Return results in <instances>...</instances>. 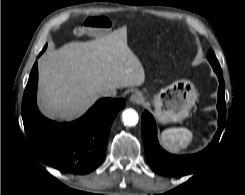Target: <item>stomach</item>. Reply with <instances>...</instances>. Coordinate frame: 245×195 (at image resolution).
<instances>
[{"label": "stomach", "mask_w": 245, "mask_h": 195, "mask_svg": "<svg viewBox=\"0 0 245 195\" xmlns=\"http://www.w3.org/2000/svg\"><path fill=\"white\" fill-rule=\"evenodd\" d=\"M197 99L198 92L190 80H176L154 95L155 116L162 124L182 122Z\"/></svg>", "instance_id": "obj_1"}]
</instances>
